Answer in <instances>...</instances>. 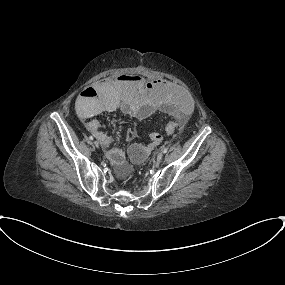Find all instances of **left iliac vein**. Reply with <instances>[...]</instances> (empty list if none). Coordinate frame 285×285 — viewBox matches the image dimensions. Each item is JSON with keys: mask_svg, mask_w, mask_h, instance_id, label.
Returning a JSON list of instances; mask_svg holds the SVG:
<instances>
[{"mask_svg": "<svg viewBox=\"0 0 285 285\" xmlns=\"http://www.w3.org/2000/svg\"><path fill=\"white\" fill-rule=\"evenodd\" d=\"M162 158H163V153H159V154L157 155V163H160L161 160H162Z\"/></svg>", "mask_w": 285, "mask_h": 285, "instance_id": "left-iliac-vein-1", "label": "left iliac vein"}]
</instances>
